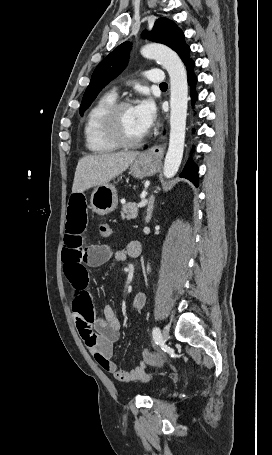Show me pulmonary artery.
<instances>
[{
  "mask_svg": "<svg viewBox=\"0 0 272 455\" xmlns=\"http://www.w3.org/2000/svg\"><path fill=\"white\" fill-rule=\"evenodd\" d=\"M147 80L161 84L164 82V75L159 69H150L145 73Z\"/></svg>",
  "mask_w": 272,
  "mask_h": 455,
  "instance_id": "1",
  "label": "pulmonary artery"
}]
</instances>
